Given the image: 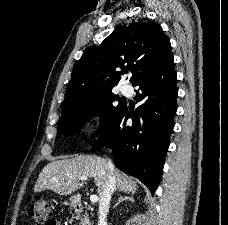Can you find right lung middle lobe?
Instances as JSON below:
<instances>
[{
	"instance_id": "obj_1",
	"label": "right lung middle lobe",
	"mask_w": 228,
	"mask_h": 225,
	"mask_svg": "<svg viewBox=\"0 0 228 225\" xmlns=\"http://www.w3.org/2000/svg\"><path fill=\"white\" fill-rule=\"evenodd\" d=\"M117 100L120 101L121 98L109 91L63 106L62 115L57 126L58 134L64 136L74 134L88 117L96 115L100 116L101 123L93 137L99 135L112 124L125 107L123 103L113 105Z\"/></svg>"
}]
</instances>
